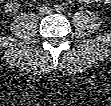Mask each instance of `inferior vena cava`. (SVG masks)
I'll list each match as a JSON object with an SVG mask.
<instances>
[{
  "label": "inferior vena cava",
  "instance_id": "obj_1",
  "mask_svg": "<svg viewBox=\"0 0 111 106\" xmlns=\"http://www.w3.org/2000/svg\"><path fill=\"white\" fill-rule=\"evenodd\" d=\"M39 11L41 15H46L51 12V8L47 6H42Z\"/></svg>",
  "mask_w": 111,
  "mask_h": 106
}]
</instances>
